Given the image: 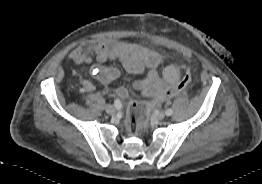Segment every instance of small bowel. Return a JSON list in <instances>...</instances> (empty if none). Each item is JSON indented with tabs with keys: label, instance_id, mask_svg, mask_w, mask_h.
<instances>
[{
	"label": "small bowel",
	"instance_id": "obj_1",
	"mask_svg": "<svg viewBox=\"0 0 262 184\" xmlns=\"http://www.w3.org/2000/svg\"><path fill=\"white\" fill-rule=\"evenodd\" d=\"M93 57L97 63L93 64ZM68 59L76 64L84 65L90 75L103 84H109L119 77V70L113 66H104L107 62L119 61L123 68L131 74L146 73L142 79L134 81V88L147 96L164 94L170 87L181 81V65L167 66L159 71L161 55L142 45L129 42L101 40L72 50ZM81 92L89 93L94 85L87 79L81 80ZM166 99V98H165Z\"/></svg>",
	"mask_w": 262,
	"mask_h": 184
}]
</instances>
